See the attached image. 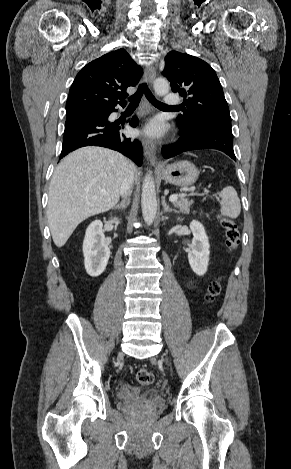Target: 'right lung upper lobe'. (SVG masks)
I'll return each instance as SVG.
<instances>
[{
  "instance_id": "1",
  "label": "right lung upper lobe",
  "mask_w": 291,
  "mask_h": 469,
  "mask_svg": "<svg viewBox=\"0 0 291 469\" xmlns=\"http://www.w3.org/2000/svg\"><path fill=\"white\" fill-rule=\"evenodd\" d=\"M142 69L124 49L109 52L77 74L66 102V114L103 104H125L126 89L136 86Z\"/></svg>"
}]
</instances>
